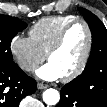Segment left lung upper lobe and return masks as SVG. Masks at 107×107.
I'll list each match as a JSON object with an SVG mask.
<instances>
[{
    "label": "left lung upper lobe",
    "instance_id": "1",
    "mask_svg": "<svg viewBox=\"0 0 107 107\" xmlns=\"http://www.w3.org/2000/svg\"><path fill=\"white\" fill-rule=\"evenodd\" d=\"M92 32V50L88 63L81 75L73 80L90 86L91 80L104 64L107 67V29L104 24L90 11L79 8Z\"/></svg>",
    "mask_w": 107,
    "mask_h": 107
}]
</instances>
